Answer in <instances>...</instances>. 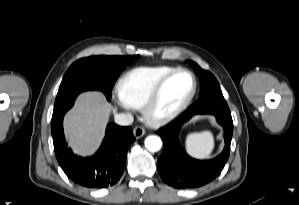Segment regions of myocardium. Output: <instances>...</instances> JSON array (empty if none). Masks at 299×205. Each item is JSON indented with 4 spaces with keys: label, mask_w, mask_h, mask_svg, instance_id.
<instances>
[{
    "label": "myocardium",
    "mask_w": 299,
    "mask_h": 205,
    "mask_svg": "<svg viewBox=\"0 0 299 205\" xmlns=\"http://www.w3.org/2000/svg\"><path fill=\"white\" fill-rule=\"evenodd\" d=\"M179 74H187L191 78L192 87L188 96L177 107L168 111L159 112L158 104L165 87L174 77H176ZM196 89L197 81L194 74L190 70L183 68L175 69L174 71L166 75L156 85V87L146 100L145 104L143 105L142 112L145 120L152 126H160L174 120L181 113H183L190 105L196 94Z\"/></svg>",
    "instance_id": "1"
}]
</instances>
